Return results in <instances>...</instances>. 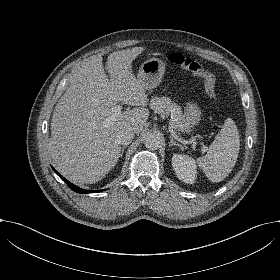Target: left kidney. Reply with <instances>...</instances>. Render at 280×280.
I'll list each match as a JSON object with an SVG mask.
<instances>
[{
  "label": "left kidney",
  "mask_w": 280,
  "mask_h": 280,
  "mask_svg": "<svg viewBox=\"0 0 280 280\" xmlns=\"http://www.w3.org/2000/svg\"><path fill=\"white\" fill-rule=\"evenodd\" d=\"M173 169L181 181L187 184H193L196 180L195 160L187 155L174 154L172 157Z\"/></svg>",
  "instance_id": "5707ae66"
}]
</instances>
